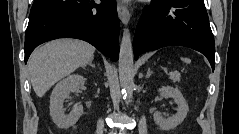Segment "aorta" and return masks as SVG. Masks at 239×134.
I'll list each match as a JSON object with an SVG mask.
<instances>
[{
	"label": "aorta",
	"instance_id": "1",
	"mask_svg": "<svg viewBox=\"0 0 239 134\" xmlns=\"http://www.w3.org/2000/svg\"><path fill=\"white\" fill-rule=\"evenodd\" d=\"M118 70L120 85L125 96L130 99L134 90V61L131 35L127 28L123 30L120 43Z\"/></svg>",
	"mask_w": 239,
	"mask_h": 134
}]
</instances>
